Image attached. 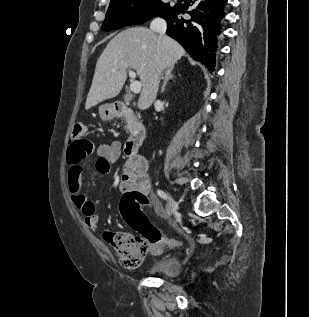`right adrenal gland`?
I'll use <instances>...</instances> for the list:
<instances>
[{
	"label": "right adrenal gland",
	"mask_w": 309,
	"mask_h": 317,
	"mask_svg": "<svg viewBox=\"0 0 309 317\" xmlns=\"http://www.w3.org/2000/svg\"><path fill=\"white\" fill-rule=\"evenodd\" d=\"M172 71H173V68H170L166 71L165 73V79H164V83L161 87V93H163L165 91V87L167 85V82L170 80V79H173V75H172Z\"/></svg>",
	"instance_id": "obj_1"
}]
</instances>
